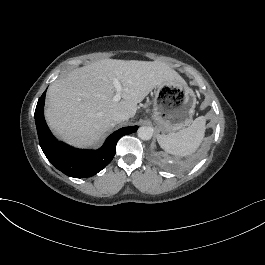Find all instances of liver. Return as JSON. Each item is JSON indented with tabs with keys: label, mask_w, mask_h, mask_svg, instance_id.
Listing matches in <instances>:
<instances>
[{
	"label": "liver",
	"mask_w": 265,
	"mask_h": 265,
	"mask_svg": "<svg viewBox=\"0 0 265 265\" xmlns=\"http://www.w3.org/2000/svg\"><path fill=\"white\" fill-rule=\"evenodd\" d=\"M122 86V100L114 102L113 79ZM184 84L182 77L161 61L102 59L74 69L53 82L46 96L45 119L61 140L76 147L95 145L117 124L112 114L130 118L150 91L162 84Z\"/></svg>",
	"instance_id": "obj_1"
}]
</instances>
